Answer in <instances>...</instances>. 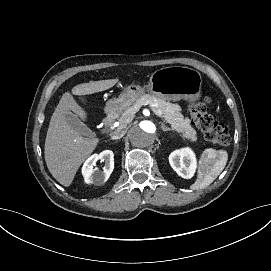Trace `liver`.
Wrapping results in <instances>:
<instances>
[{
    "label": "liver",
    "instance_id": "1",
    "mask_svg": "<svg viewBox=\"0 0 271 271\" xmlns=\"http://www.w3.org/2000/svg\"><path fill=\"white\" fill-rule=\"evenodd\" d=\"M118 81L109 79L79 84L73 87L72 94L80 96L101 92L113 87ZM70 110L82 119L86 118L85 111L66 92L51 117L44 151L50 173L65 187L71 185L78 168L99 142L98 138H83L70 127L66 118Z\"/></svg>",
    "mask_w": 271,
    "mask_h": 271
}]
</instances>
